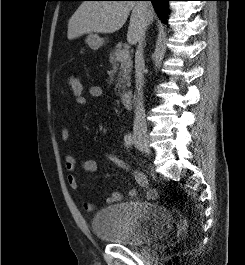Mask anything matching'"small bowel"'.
Returning <instances> with one entry per match:
<instances>
[{"label": "small bowel", "mask_w": 245, "mask_h": 265, "mask_svg": "<svg viewBox=\"0 0 245 265\" xmlns=\"http://www.w3.org/2000/svg\"><path fill=\"white\" fill-rule=\"evenodd\" d=\"M87 93L91 98H98V97L102 96L103 90L98 85H91L88 88ZM87 103H88V100L86 98V100L84 102L77 103V106L80 108L85 107L87 105ZM69 137H70L69 129L67 127H63L61 130V139L63 141H68ZM78 165L81 167V169L85 173H93L97 169V163L95 160L83 159L80 162H78L77 159L73 155L67 154L65 156V168L69 172V174L67 176V182H68L70 188H72L74 190H77L80 187L79 179H78L77 175L75 174V171H76ZM133 176H134L136 182L140 186L147 188V179L142 173H140L138 171H134ZM128 196L131 199L136 198L137 197V191L135 189H130L128 192ZM146 196L149 199H156L158 197V192L155 189H147ZM122 198H123V196L120 192L113 191L106 198V203L107 204L117 203V202H120L122 200ZM84 208L87 211H92L94 209V204H92L90 202H86L84 204Z\"/></svg>", "instance_id": "1"}]
</instances>
